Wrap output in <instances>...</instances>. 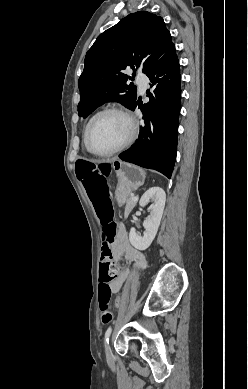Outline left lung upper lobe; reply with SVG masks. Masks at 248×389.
Listing matches in <instances>:
<instances>
[{
    "instance_id": "5c2ea615",
    "label": "left lung upper lobe",
    "mask_w": 248,
    "mask_h": 389,
    "mask_svg": "<svg viewBox=\"0 0 248 389\" xmlns=\"http://www.w3.org/2000/svg\"><path fill=\"white\" fill-rule=\"evenodd\" d=\"M172 45L163 18L147 11L129 14L100 34L86 53L78 80L79 116L87 117L107 101L130 109L136 102L137 89L126 84L128 78L122 70L135 65L146 74ZM135 73L136 69L133 76Z\"/></svg>"
}]
</instances>
